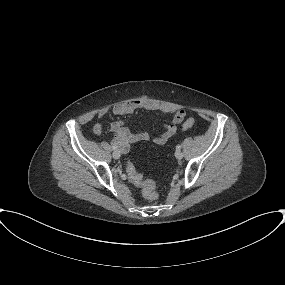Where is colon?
<instances>
[{
    "mask_svg": "<svg viewBox=\"0 0 285 285\" xmlns=\"http://www.w3.org/2000/svg\"><path fill=\"white\" fill-rule=\"evenodd\" d=\"M182 114L177 115V119H180ZM195 121L193 118L186 119L183 124V129H189L193 127ZM126 171L129 179L135 184L142 187V192L145 198L149 200H155L158 198V193L155 190L154 182L151 180H145L140 172L137 171L136 167L131 161L126 163Z\"/></svg>",
    "mask_w": 285,
    "mask_h": 285,
    "instance_id": "obj_1",
    "label": "colon"
}]
</instances>
